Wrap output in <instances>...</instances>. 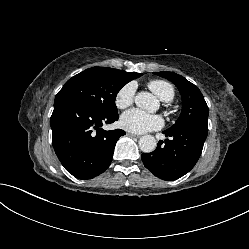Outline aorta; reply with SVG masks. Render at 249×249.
Here are the masks:
<instances>
[{
	"mask_svg": "<svg viewBox=\"0 0 249 249\" xmlns=\"http://www.w3.org/2000/svg\"><path fill=\"white\" fill-rule=\"evenodd\" d=\"M135 103L142 109L151 110L155 107L156 100L151 93L142 91L135 96ZM156 146V139L152 135H144L139 140V147L145 153L154 151Z\"/></svg>",
	"mask_w": 249,
	"mask_h": 249,
	"instance_id": "1",
	"label": "aorta"
}]
</instances>
